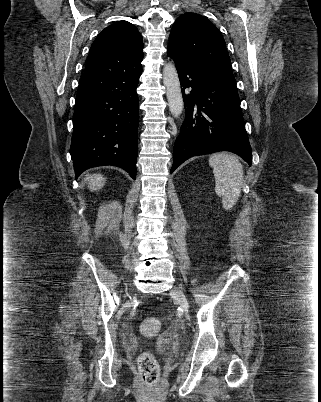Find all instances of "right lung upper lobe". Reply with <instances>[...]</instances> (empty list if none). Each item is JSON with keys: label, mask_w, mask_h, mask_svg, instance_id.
<instances>
[{"label": "right lung upper lobe", "mask_w": 321, "mask_h": 402, "mask_svg": "<svg viewBox=\"0 0 321 402\" xmlns=\"http://www.w3.org/2000/svg\"><path fill=\"white\" fill-rule=\"evenodd\" d=\"M143 39L127 21L106 27L93 42L83 77L104 73H130L142 69Z\"/></svg>", "instance_id": "cb5924a9"}]
</instances>
